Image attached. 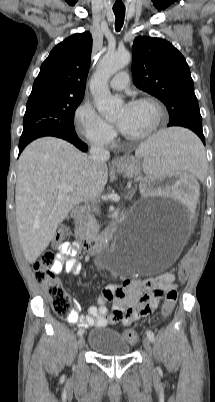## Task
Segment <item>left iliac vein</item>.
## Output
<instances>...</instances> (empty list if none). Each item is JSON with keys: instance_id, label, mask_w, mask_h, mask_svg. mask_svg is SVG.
<instances>
[{"instance_id": "4c4485c4", "label": "left iliac vein", "mask_w": 215, "mask_h": 402, "mask_svg": "<svg viewBox=\"0 0 215 402\" xmlns=\"http://www.w3.org/2000/svg\"><path fill=\"white\" fill-rule=\"evenodd\" d=\"M143 346H144L146 352H147L149 355H151V354H152V347H151V342H150V340H149L148 337H144V338H143Z\"/></svg>"}]
</instances>
